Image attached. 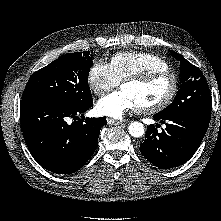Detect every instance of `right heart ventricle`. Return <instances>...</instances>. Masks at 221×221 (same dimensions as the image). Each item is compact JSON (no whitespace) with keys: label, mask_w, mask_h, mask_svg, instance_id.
Listing matches in <instances>:
<instances>
[{"label":"right heart ventricle","mask_w":221,"mask_h":221,"mask_svg":"<svg viewBox=\"0 0 221 221\" xmlns=\"http://www.w3.org/2000/svg\"><path fill=\"white\" fill-rule=\"evenodd\" d=\"M110 65L118 77L124 79L148 71L168 70L169 64L162 57L143 51H125L113 55Z\"/></svg>","instance_id":"1"}]
</instances>
